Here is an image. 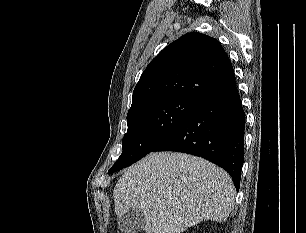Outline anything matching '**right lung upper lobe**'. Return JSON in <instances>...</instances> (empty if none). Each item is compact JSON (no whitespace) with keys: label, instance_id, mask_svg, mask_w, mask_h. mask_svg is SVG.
Here are the masks:
<instances>
[{"label":"right lung upper lobe","instance_id":"cb5924a9","mask_svg":"<svg viewBox=\"0 0 306 233\" xmlns=\"http://www.w3.org/2000/svg\"><path fill=\"white\" fill-rule=\"evenodd\" d=\"M234 87V70L221 44L191 32L169 44L148 64L134 88L129 112L173 97L202 105Z\"/></svg>","mask_w":306,"mask_h":233}]
</instances>
